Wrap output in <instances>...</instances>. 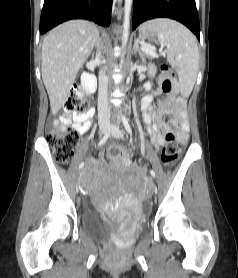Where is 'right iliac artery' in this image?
Here are the masks:
<instances>
[{
    "mask_svg": "<svg viewBox=\"0 0 238 278\" xmlns=\"http://www.w3.org/2000/svg\"><path fill=\"white\" fill-rule=\"evenodd\" d=\"M113 127H114V125L111 126L110 130L108 131V133H106V134L103 136V138L99 141L98 146L104 144V143L107 141V139H108V137L110 136V133H111V130H112ZM83 167H84V162L80 163L79 169H81V168H83Z\"/></svg>",
    "mask_w": 238,
    "mask_h": 278,
    "instance_id": "right-iliac-artery-1",
    "label": "right iliac artery"
}]
</instances>
